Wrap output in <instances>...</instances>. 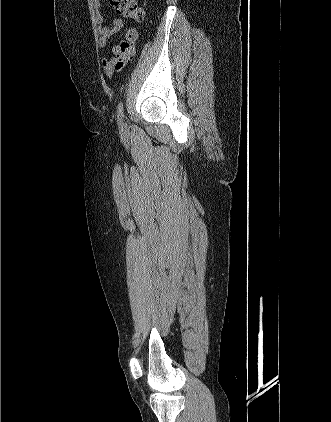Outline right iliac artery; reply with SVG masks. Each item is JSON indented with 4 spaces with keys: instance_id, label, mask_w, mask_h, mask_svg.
I'll return each instance as SVG.
<instances>
[{
    "instance_id": "right-iliac-artery-1",
    "label": "right iliac artery",
    "mask_w": 331,
    "mask_h": 422,
    "mask_svg": "<svg viewBox=\"0 0 331 422\" xmlns=\"http://www.w3.org/2000/svg\"><path fill=\"white\" fill-rule=\"evenodd\" d=\"M123 117H124V114H123V104L120 103L119 106H118V110H117V120H118L119 128L121 130L123 129Z\"/></svg>"
}]
</instances>
